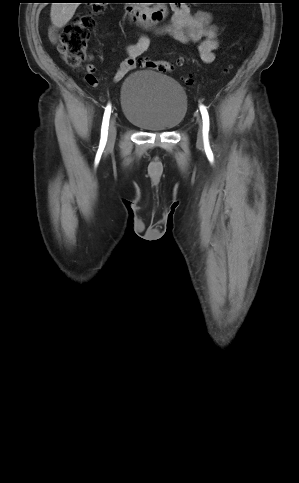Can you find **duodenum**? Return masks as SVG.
<instances>
[{"mask_svg": "<svg viewBox=\"0 0 299 483\" xmlns=\"http://www.w3.org/2000/svg\"><path fill=\"white\" fill-rule=\"evenodd\" d=\"M168 12L169 7L164 3L146 8L130 4L127 8L129 20L145 28L151 27L158 21L164 19Z\"/></svg>", "mask_w": 299, "mask_h": 483, "instance_id": "1", "label": "duodenum"}]
</instances>
